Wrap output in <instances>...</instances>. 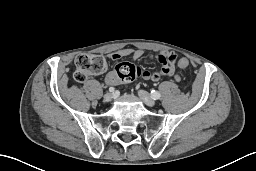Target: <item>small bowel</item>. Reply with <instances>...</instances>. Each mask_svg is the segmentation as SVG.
Wrapping results in <instances>:
<instances>
[{"instance_id":"1","label":"small bowel","mask_w":256,"mask_h":171,"mask_svg":"<svg viewBox=\"0 0 256 171\" xmlns=\"http://www.w3.org/2000/svg\"><path fill=\"white\" fill-rule=\"evenodd\" d=\"M130 56L135 60L141 59L143 57L147 59L153 58V55H145L144 51L137 48H122L117 51H114L109 54L110 59L119 60L123 57ZM157 59L163 64L162 68L157 71H149L144 70L142 77L145 80H150L157 82L161 80L163 77H170L178 81L180 79L179 75L176 73V70L173 66V63H170L168 59L170 57H175V55L171 52H160L157 56ZM180 60H185L186 65L184 67H180L182 69L186 68L188 65V61L186 58H181ZM105 81L108 85H117L119 80L115 71H111L106 75Z\"/></svg>"}]
</instances>
